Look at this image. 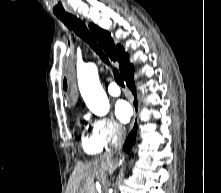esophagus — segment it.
<instances>
[{
  "label": "esophagus",
  "mask_w": 221,
  "mask_h": 193,
  "mask_svg": "<svg viewBox=\"0 0 221 193\" xmlns=\"http://www.w3.org/2000/svg\"><path fill=\"white\" fill-rule=\"evenodd\" d=\"M135 117H136V114H134V117H133V123H134V121H135ZM133 125V124H132Z\"/></svg>",
  "instance_id": "esophagus-1"
}]
</instances>
